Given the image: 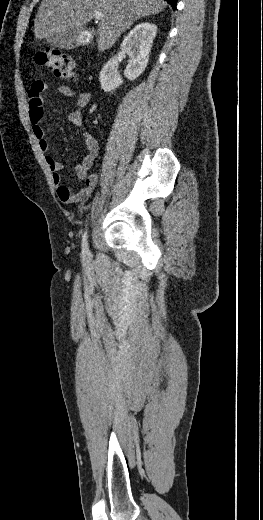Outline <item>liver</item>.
Wrapping results in <instances>:
<instances>
[{"label":"liver","mask_w":263,"mask_h":520,"mask_svg":"<svg viewBox=\"0 0 263 520\" xmlns=\"http://www.w3.org/2000/svg\"><path fill=\"white\" fill-rule=\"evenodd\" d=\"M164 0H42L34 33L50 43L55 34L72 33L88 23L95 12H102L97 29V48H110L117 38L140 18L164 10ZM93 39V36H90Z\"/></svg>","instance_id":"1"}]
</instances>
